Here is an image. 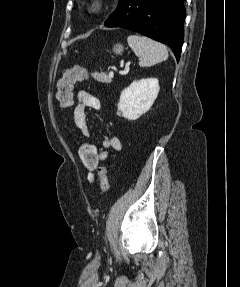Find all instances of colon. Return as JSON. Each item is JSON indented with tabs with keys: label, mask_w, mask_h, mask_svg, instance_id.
<instances>
[{
	"label": "colon",
	"mask_w": 240,
	"mask_h": 287,
	"mask_svg": "<svg viewBox=\"0 0 240 287\" xmlns=\"http://www.w3.org/2000/svg\"><path fill=\"white\" fill-rule=\"evenodd\" d=\"M88 78V71L81 66H74L65 70L57 83V100L63 108H69L73 103V88L78 82ZM79 147V155L82 164L88 170L89 180L99 185L100 192L105 195L110 183L106 166L99 164L98 152L96 146L85 142L83 137Z\"/></svg>",
	"instance_id": "1"
}]
</instances>
